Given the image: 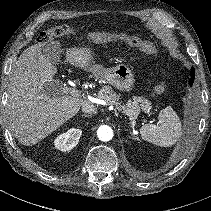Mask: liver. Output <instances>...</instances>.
<instances>
[{"mask_svg":"<svg viewBox=\"0 0 211 211\" xmlns=\"http://www.w3.org/2000/svg\"><path fill=\"white\" fill-rule=\"evenodd\" d=\"M66 61L94 75L100 72L90 48L68 49ZM56 72L40 44L24 50L14 65L7 108L11 129L23 145L41 141L89 103L86 98L68 95L66 88L54 80Z\"/></svg>","mask_w":211,"mask_h":211,"instance_id":"1","label":"liver"}]
</instances>
